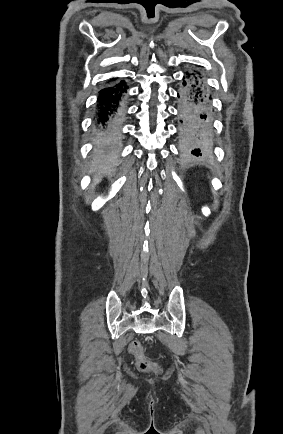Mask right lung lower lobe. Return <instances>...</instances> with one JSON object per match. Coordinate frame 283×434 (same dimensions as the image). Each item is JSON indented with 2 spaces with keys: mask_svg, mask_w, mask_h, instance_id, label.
Wrapping results in <instances>:
<instances>
[{
  "mask_svg": "<svg viewBox=\"0 0 283 434\" xmlns=\"http://www.w3.org/2000/svg\"><path fill=\"white\" fill-rule=\"evenodd\" d=\"M128 86L122 80L112 88L100 91L98 98V112L96 116V130L99 134V149L103 157H108L115 138L113 126L122 116L121 99Z\"/></svg>",
  "mask_w": 283,
  "mask_h": 434,
  "instance_id": "right-lung-lower-lobe-1",
  "label": "right lung lower lobe"
}]
</instances>
